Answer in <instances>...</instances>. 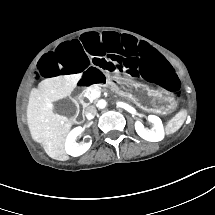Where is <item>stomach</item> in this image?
Masks as SVG:
<instances>
[{
	"label": "stomach",
	"mask_w": 215,
	"mask_h": 215,
	"mask_svg": "<svg viewBox=\"0 0 215 215\" xmlns=\"http://www.w3.org/2000/svg\"><path fill=\"white\" fill-rule=\"evenodd\" d=\"M129 94L131 95V97L133 98V100H135L136 102L139 103H144V104H150L152 102H157V99H161V102L163 104H169V103H173V101L171 100H166L164 99V97H160V96H155V97H150L148 96V94L145 92V90H141V89H135L133 87L127 86L126 87Z\"/></svg>",
	"instance_id": "0dacf381"
}]
</instances>
